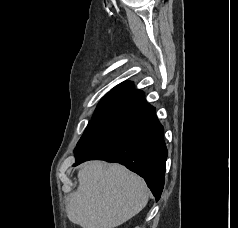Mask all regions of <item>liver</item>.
<instances>
[{"instance_id": "6515ba94", "label": "liver", "mask_w": 238, "mask_h": 228, "mask_svg": "<svg viewBox=\"0 0 238 228\" xmlns=\"http://www.w3.org/2000/svg\"><path fill=\"white\" fill-rule=\"evenodd\" d=\"M66 203L68 219L82 228H115L138 214L149 199L144 180L119 164L85 163Z\"/></svg>"}]
</instances>
